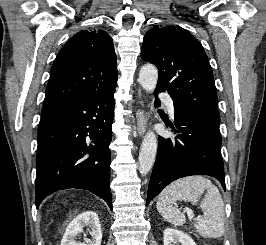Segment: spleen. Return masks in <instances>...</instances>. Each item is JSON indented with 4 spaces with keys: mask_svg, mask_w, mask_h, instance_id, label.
<instances>
[{
    "mask_svg": "<svg viewBox=\"0 0 266 245\" xmlns=\"http://www.w3.org/2000/svg\"><path fill=\"white\" fill-rule=\"evenodd\" d=\"M204 191H206L200 207L204 213L203 219L197 221L194 227L204 239H219L224 235V203L215 185L205 177H184L171 183L158 197L156 209L161 213L163 219L174 227H183L186 217L178 209H173L171 205L176 201H186V203H198Z\"/></svg>",
    "mask_w": 266,
    "mask_h": 245,
    "instance_id": "3e777b00",
    "label": "spleen"
}]
</instances>
